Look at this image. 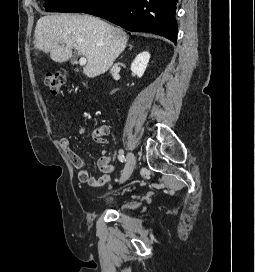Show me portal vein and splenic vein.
<instances>
[{
    "label": "portal vein and splenic vein",
    "instance_id": "18ae733b",
    "mask_svg": "<svg viewBox=\"0 0 255 272\" xmlns=\"http://www.w3.org/2000/svg\"><path fill=\"white\" fill-rule=\"evenodd\" d=\"M86 62H87V60H86L85 57H81L80 60H79L80 65H85Z\"/></svg>",
    "mask_w": 255,
    "mask_h": 272
}]
</instances>
